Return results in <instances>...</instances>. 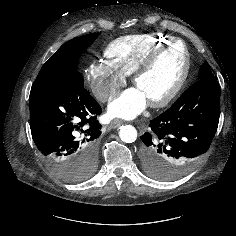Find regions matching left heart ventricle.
<instances>
[{"label":"left heart ventricle","mask_w":236,"mask_h":236,"mask_svg":"<svg viewBox=\"0 0 236 236\" xmlns=\"http://www.w3.org/2000/svg\"><path fill=\"white\" fill-rule=\"evenodd\" d=\"M183 70V50L176 45L166 51L137 81L147 100L165 95L176 83Z\"/></svg>","instance_id":"1"}]
</instances>
